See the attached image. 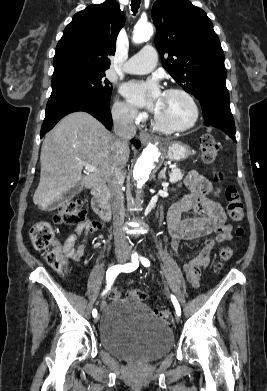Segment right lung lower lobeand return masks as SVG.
<instances>
[{
	"instance_id": "right-lung-lower-lobe-1",
	"label": "right lung lower lobe",
	"mask_w": 267,
	"mask_h": 391,
	"mask_svg": "<svg viewBox=\"0 0 267 391\" xmlns=\"http://www.w3.org/2000/svg\"><path fill=\"white\" fill-rule=\"evenodd\" d=\"M109 107L110 103L78 96L64 97L53 102H48L45 119L41 127V137L51 130L65 115L76 111L90 113L110 130L113 122ZM131 142L135 147H140V141L132 140Z\"/></svg>"
}]
</instances>
